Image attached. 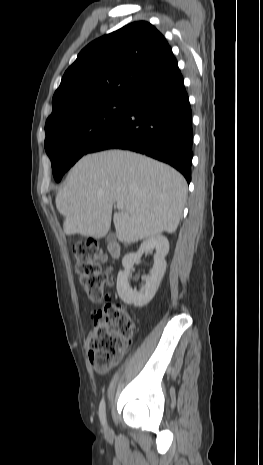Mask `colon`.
Returning <instances> with one entry per match:
<instances>
[{
  "label": "colon",
  "instance_id": "5ec220e1",
  "mask_svg": "<svg viewBox=\"0 0 263 465\" xmlns=\"http://www.w3.org/2000/svg\"><path fill=\"white\" fill-rule=\"evenodd\" d=\"M75 272L92 299H100L107 279L102 270L106 256L96 240L76 244L73 248ZM134 324L124 307L109 302L94 315L88 338L89 358L96 370L104 371L116 365L133 334Z\"/></svg>",
  "mask_w": 263,
  "mask_h": 465
}]
</instances>
